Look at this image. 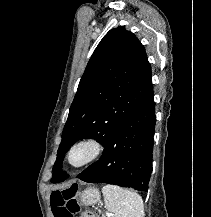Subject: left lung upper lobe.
<instances>
[{
	"label": "left lung upper lobe",
	"mask_w": 211,
	"mask_h": 217,
	"mask_svg": "<svg viewBox=\"0 0 211 217\" xmlns=\"http://www.w3.org/2000/svg\"><path fill=\"white\" fill-rule=\"evenodd\" d=\"M151 66L144 46L124 27L110 30L100 41L81 77L62 132L52 183L61 172L66 151L83 138L105 145L114 128L152 94Z\"/></svg>",
	"instance_id": "5c2ea615"
}]
</instances>
